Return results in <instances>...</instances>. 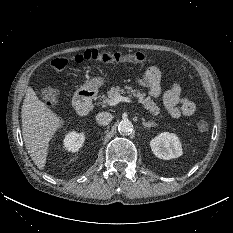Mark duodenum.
<instances>
[{
  "mask_svg": "<svg viewBox=\"0 0 233 233\" xmlns=\"http://www.w3.org/2000/svg\"><path fill=\"white\" fill-rule=\"evenodd\" d=\"M94 97L95 95L91 90L83 89L79 91L74 98L75 110L80 115L88 114L93 106Z\"/></svg>",
  "mask_w": 233,
  "mask_h": 233,
  "instance_id": "obj_1",
  "label": "duodenum"
}]
</instances>
